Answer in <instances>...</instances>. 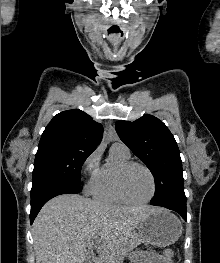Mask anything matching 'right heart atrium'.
I'll list each match as a JSON object with an SVG mask.
<instances>
[{"instance_id": "1", "label": "right heart atrium", "mask_w": 220, "mask_h": 263, "mask_svg": "<svg viewBox=\"0 0 220 263\" xmlns=\"http://www.w3.org/2000/svg\"><path fill=\"white\" fill-rule=\"evenodd\" d=\"M100 170V150H94L84 161L82 172L86 182L87 192H92Z\"/></svg>"}]
</instances>
